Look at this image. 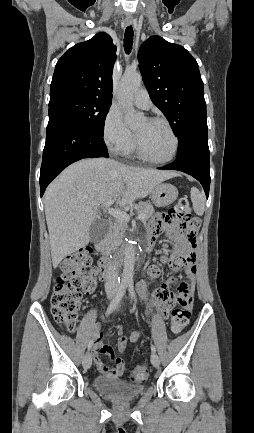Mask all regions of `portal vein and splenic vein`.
I'll use <instances>...</instances> for the list:
<instances>
[{"instance_id":"obj_1","label":"portal vein and splenic vein","mask_w":254,"mask_h":433,"mask_svg":"<svg viewBox=\"0 0 254 433\" xmlns=\"http://www.w3.org/2000/svg\"><path fill=\"white\" fill-rule=\"evenodd\" d=\"M113 203H114V200H110V201L104 203L103 207L108 208V213L111 216H113L119 220L128 222L130 220L129 214H127L126 212L120 211L118 209L110 208V205H112ZM144 218H145V215L142 213L138 214V216H137V219H139V220H143Z\"/></svg>"}]
</instances>
